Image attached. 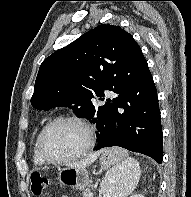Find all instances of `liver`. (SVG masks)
<instances>
[{
  "label": "liver",
  "instance_id": "obj_1",
  "mask_svg": "<svg viewBox=\"0 0 191 197\" xmlns=\"http://www.w3.org/2000/svg\"><path fill=\"white\" fill-rule=\"evenodd\" d=\"M101 152L102 151L95 152L81 161L71 163L69 165V167H71V168H85L86 166L92 164L98 158V156L100 155Z\"/></svg>",
  "mask_w": 191,
  "mask_h": 197
}]
</instances>
